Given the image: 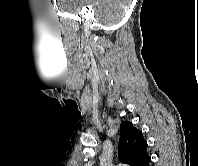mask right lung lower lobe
I'll return each mask as SVG.
<instances>
[{
  "label": "right lung lower lobe",
  "instance_id": "98d812e1",
  "mask_svg": "<svg viewBox=\"0 0 198 166\" xmlns=\"http://www.w3.org/2000/svg\"><path fill=\"white\" fill-rule=\"evenodd\" d=\"M150 160H151V158L149 157V158L147 159V161L143 164V166H148V165H149Z\"/></svg>",
  "mask_w": 198,
  "mask_h": 166
}]
</instances>
